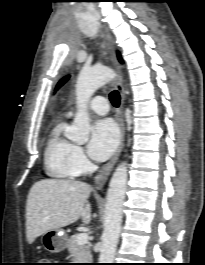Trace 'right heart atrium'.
I'll list each match as a JSON object with an SVG mask.
<instances>
[{
  "label": "right heart atrium",
  "instance_id": "obj_1",
  "mask_svg": "<svg viewBox=\"0 0 205 265\" xmlns=\"http://www.w3.org/2000/svg\"><path fill=\"white\" fill-rule=\"evenodd\" d=\"M73 163L78 173H83L88 169L89 161L80 146L74 148Z\"/></svg>",
  "mask_w": 205,
  "mask_h": 265
}]
</instances>
